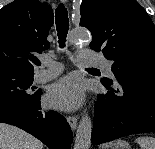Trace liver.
Here are the masks:
<instances>
[{
    "label": "liver",
    "mask_w": 155,
    "mask_h": 149,
    "mask_svg": "<svg viewBox=\"0 0 155 149\" xmlns=\"http://www.w3.org/2000/svg\"><path fill=\"white\" fill-rule=\"evenodd\" d=\"M0 149H43V144L22 129L0 123Z\"/></svg>",
    "instance_id": "6515ba94"
}]
</instances>
